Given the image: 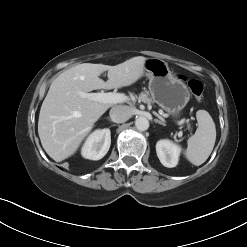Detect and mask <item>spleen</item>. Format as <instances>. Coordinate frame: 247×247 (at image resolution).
<instances>
[{
	"mask_svg": "<svg viewBox=\"0 0 247 247\" xmlns=\"http://www.w3.org/2000/svg\"><path fill=\"white\" fill-rule=\"evenodd\" d=\"M198 128L187 141L186 158L195 166L203 164L211 154L215 140L216 129L212 117L205 110L196 113Z\"/></svg>",
	"mask_w": 247,
	"mask_h": 247,
	"instance_id": "obj_1",
	"label": "spleen"
}]
</instances>
